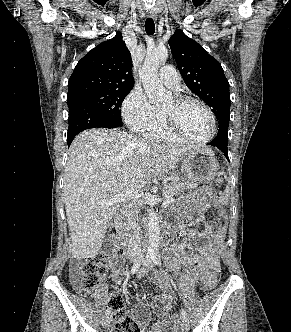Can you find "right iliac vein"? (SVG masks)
<instances>
[{
    "mask_svg": "<svg viewBox=\"0 0 291 332\" xmlns=\"http://www.w3.org/2000/svg\"><path fill=\"white\" fill-rule=\"evenodd\" d=\"M131 261L135 262L136 261V258L135 257H132L131 258ZM110 322H111V318L110 316H105L103 319H102V326L104 328H107L109 325H110Z\"/></svg>",
    "mask_w": 291,
    "mask_h": 332,
    "instance_id": "right-iliac-vein-1",
    "label": "right iliac vein"
}]
</instances>
